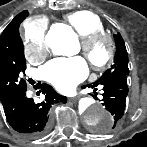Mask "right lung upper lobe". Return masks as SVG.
I'll use <instances>...</instances> for the list:
<instances>
[{"mask_svg":"<svg viewBox=\"0 0 147 147\" xmlns=\"http://www.w3.org/2000/svg\"><path fill=\"white\" fill-rule=\"evenodd\" d=\"M15 22H16V17L11 21V23L4 29L3 33L1 34V36H0V51L3 47L4 40H5L7 32L15 24Z\"/></svg>","mask_w":147,"mask_h":147,"instance_id":"obj_1","label":"right lung upper lobe"}]
</instances>
